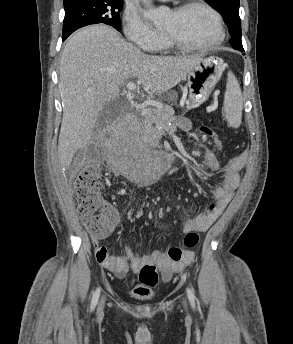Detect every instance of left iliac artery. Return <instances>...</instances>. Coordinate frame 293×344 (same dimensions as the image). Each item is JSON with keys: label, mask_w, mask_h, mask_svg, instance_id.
Masks as SVG:
<instances>
[{"label": "left iliac artery", "mask_w": 293, "mask_h": 344, "mask_svg": "<svg viewBox=\"0 0 293 344\" xmlns=\"http://www.w3.org/2000/svg\"><path fill=\"white\" fill-rule=\"evenodd\" d=\"M187 295L192 307L195 308V296L189 287L187 288Z\"/></svg>", "instance_id": "1"}]
</instances>
